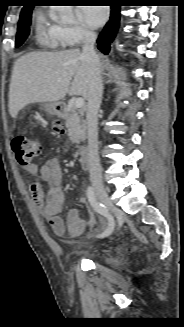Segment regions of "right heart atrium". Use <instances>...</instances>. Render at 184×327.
Wrapping results in <instances>:
<instances>
[{"label": "right heart atrium", "instance_id": "1", "mask_svg": "<svg viewBox=\"0 0 184 327\" xmlns=\"http://www.w3.org/2000/svg\"><path fill=\"white\" fill-rule=\"evenodd\" d=\"M93 36V32L81 22L65 26L61 30V39L64 46L76 47Z\"/></svg>", "mask_w": 184, "mask_h": 327}]
</instances>
